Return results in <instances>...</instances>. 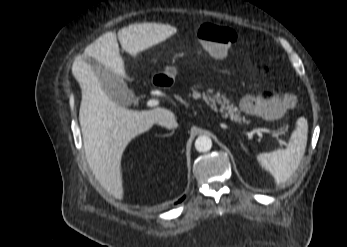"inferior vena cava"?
<instances>
[{"instance_id":"inferior-vena-cava-1","label":"inferior vena cava","mask_w":347,"mask_h":247,"mask_svg":"<svg viewBox=\"0 0 347 247\" xmlns=\"http://www.w3.org/2000/svg\"><path fill=\"white\" fill-rule=\"evenodd\" d=\"M157 123L167 129H175L178 127V123L173 113L170 111H165L163 115L159 116Z\"/></svg>"}]
</instances>
